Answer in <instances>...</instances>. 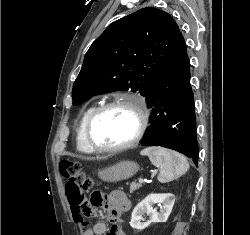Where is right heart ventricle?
I'll return each mask as SVG.
<instances>
[{
	"mask_svg": "<svg viewBox=\"0 0 250 235\" xmlns=\"http://www.w3.org/2000/svg\"><path fill=\"white\" fill-rule=\"evenodd\" d=\"M97 106L95 104L89 105L81 114L79 121H78V125H77V131H76V146L77 149L82 152V153H86V154H90L93 151L89 148V146L87 145L85 139H84V127L86 124V121L88 119V117L90 116V114L93 112V110L96 108Z\"/></svg>",
	"mask_w": 250,
	"mask_h": 235,
	"instance_id": "e07e8e85",
	"label": "right heart ventricle"
}]
</instances>
